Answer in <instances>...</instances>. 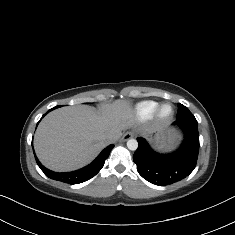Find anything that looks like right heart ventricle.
<instances>
[{
  "instance_id": "e07e8e85",
  "label": "right heart ventricle",
  "mask_w": 235,
  "mask_h": 235,
  "mask_svg": "<svg viewBox=\"0 0 235 235\" xmlns=\"http://www.w3.org/2000/svg\"><path fill=\"white\" fill-rule=\"evenodd\" d=\"M157 105L158 103L154 101H144L132 106L117 103L108 108L107 114L115 122L123 118L142 122L153 117Z\"/></svg>"
}]
</instances>
